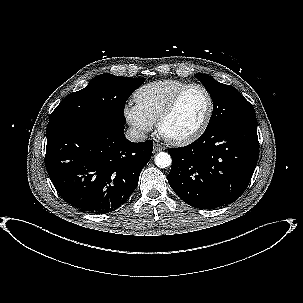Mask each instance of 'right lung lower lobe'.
<instances>
[{
  "label": "right lung lower lobe",
  "instance_id": "obj_1",
  "mask_svg": "<svg viewBox=\"0 0 303 303\" xmlns=\"http://www.w3.org/2000/svg\"><path fill=\"white\" fill-rule=\"evenodd\" d=\"M124 128L102 118L48 123L45 166L63 200L81 211L105 214L130 197L153 142H130Z\"/></svg>",
  "mask_w": 303,
  "mask_h": 303
}]
</instances>
